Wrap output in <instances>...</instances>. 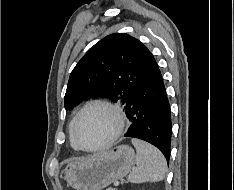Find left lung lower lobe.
<instances>
[{
  "mask_svg": "<svg viewBox=\"0 0 234 190\" xmlns=\"http://www.w3.org/2000/svg\"><path fill=\"white\" fill-rule=\"evenodd\" d=\"M144 80L125 108L131 121L125 137L139 138L156 146L170 158L171 112L158 65L145 47L143 54Z\"/></svg>",
  "mask_w": 234,
  "mask_h": 190,
  "instance_id": "obj_1",
  "label": "left lung lower lobe"
}]
</instances>
